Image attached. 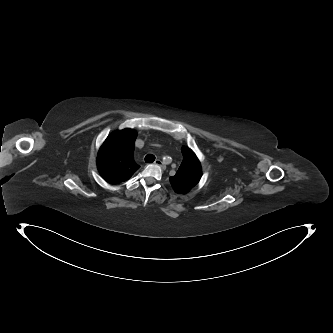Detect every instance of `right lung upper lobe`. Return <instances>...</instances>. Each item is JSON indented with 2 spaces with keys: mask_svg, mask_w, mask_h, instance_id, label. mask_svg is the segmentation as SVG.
I'll list each match as a JSON object with an SVG mask.
<instances>
[{
  "mask_svg": "<svg viewBox=\"0 0 333 333\" xmlns=\"http://www.w3.org/2000/svg\"><path fill=\"white\" fill-rule=\"evenodd\" d=\"M136 137L135 130L126 128L106 138L97 155V168L106 182L121 183L139 169L133 159Z\"/></svg>",
  "mask_w": 333,
  "mask_h": 333,
  "instance_id": "cb5924a9",
  "label": "right lung upper lobe"
}]
</instances>
